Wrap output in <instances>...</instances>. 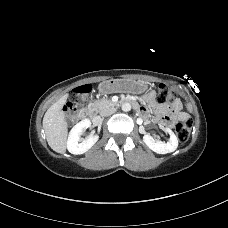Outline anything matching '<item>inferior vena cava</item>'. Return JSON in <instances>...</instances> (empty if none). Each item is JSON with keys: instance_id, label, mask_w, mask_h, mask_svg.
<instances>
[{"instance_id": "obj_1", "label": "inferior vena cava", "mask_w": 228, "mask_h": 228, "mask_svg": "<svg viewBox=\"0 0 228 228\" xmlns=\"http://www.w3.org/2000/svg\"><path fill=\"white\" fill-rule=\"evenodd\" d=\"M116 112V109L114 107H108L106 109H104L100 115L101 116H109V115H112Z\"/></svg>"}]
</instances>
